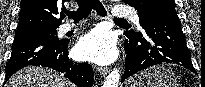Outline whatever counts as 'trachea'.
Wrapping results in <instances>:
<instances>
[{
    "label": "trachea",
    "mask_w": 205,
    "mask_h": 87,
    "mask_svg": "<svg viewBox=\"0 0 205 87\" xmlns=\"http://www.w3.org/2000/svg\"><path fill=\"white\" fill-rule=\"evenodd\" d=\"M92 10H96L97 14L102 17L107 15V11L99 0H78V9L76 11H65V14L72 18L74 22H79L86 18ZM114 21L126 22L125 19L120 18H114Z\"/></svg>",
    "instance_id": "3493384b"
}]
</instances>
